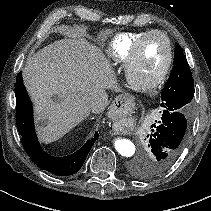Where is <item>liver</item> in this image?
Segmentation results:
<instances>
[{"label":"liver","instance_id":"6515ba94","mask_svg":"<svg viewBox=\"0 0 211 211\" xmlns=\"http://www.w3.org/2000/svg\"><path fill=\"white\" fill-rule=\"evenodd\" d=\"M23 79L44 143L64 136L91 111L103 112L108 105L106 89L120 90L105 57L84 39H61L42 48L28 59ZM92 101L97 103L94 108Z\"/></svg>","mask_w":211,"mask_h":211}]
</instances>
